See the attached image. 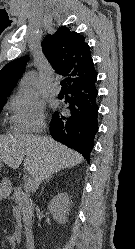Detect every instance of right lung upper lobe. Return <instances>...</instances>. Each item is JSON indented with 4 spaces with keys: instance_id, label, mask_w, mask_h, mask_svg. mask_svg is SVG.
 I'll use <instances>...</instances> for the list:
<instances>
[{
    "instance_id": "obj_1",
    "label": "right lung upper lobe",
    "mask_w": 135,
    "mask_h": 249,
    "mask_svg": "<svg viewBox=\"0 0 135 249\" xmlns=\"http://www.w3.org/2000/svg\"><path fill=\"white\" fill-rule=\"evenodd\" d=\"M42 51L59 74L68 76L69 85L83 81L96 73L84 36L67 27H60L55 34L47 35L42 41ZM28 61L29 57L23 56L1 69L0 101L6 100Z\"/></svg>"
}]
</instances>
